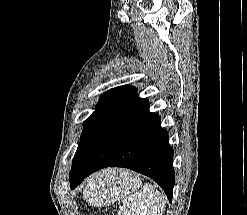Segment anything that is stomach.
<instances>
[{"instance_id": "0dacf381", "label": "stomach", "mask_w": 247, "mask_h": 215, "mask_svg": "<svg viewBox=\"0 0 247 215\" xmlns=\"http://www.w3.org/2000/svg\"><path fill=\"white\" fill-rule=\"evenodd\" d=\"M120 171L122 170H116L115 173L100 172L87 182L84 195L92 205L109 204L122 198L126 192L139 187L137 177L131 173L121 174Z\"/></svg>"}]
</instances>
